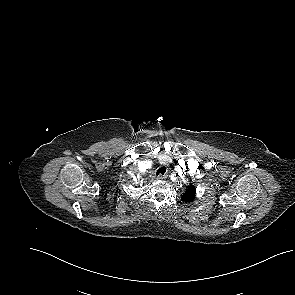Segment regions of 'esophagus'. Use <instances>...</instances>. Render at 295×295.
<instances>
[{"label":"esophagus","mask_w":295,"mask_h":295,"mask_svg":"<svg viewBox=\"0 0 295 295\" xmlns=\"http://www.w3.org/2000/svg\"><path fill=\"white\" fill-rule=\"evenodd\" d=\"M166 177H167V176H166L165 174H163V175L160 174V175L157 176V179H159V180H164V179H166Z\"/></svg>","instance_id":"34e87169"}]
</instances>
